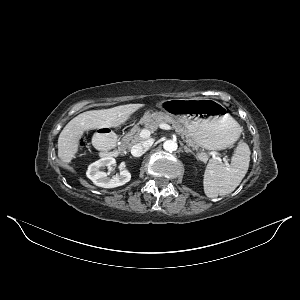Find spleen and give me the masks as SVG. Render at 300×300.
Masks as SVG:
<instances>
[{"label": "spleen", "instance_id": "obj_1", "mask_svg": "<svg viewBox=\"0 0 300 300\" xmlns=\"http://www.w3.org/2000/svg\"><path fill=\"white\" fill-rule=\"evenodd\" d=\"M239 130L241 131L240 126ZM250 154L249 146L243 140H240L231 158L230 165L227 166L220 161L210 160L203 179L206 196L216 198L219 195H227L233 192L248 171Z\"/></svg>", "mask_w": 300, "mask_h": 300}]
</instances>
